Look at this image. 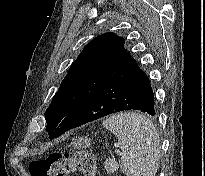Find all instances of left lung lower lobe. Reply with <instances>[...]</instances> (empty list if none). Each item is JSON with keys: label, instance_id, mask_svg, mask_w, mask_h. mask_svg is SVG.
Instances as JSON below:
<instances>
[{"label": "left lung lower lobe", "instance_id": "1", "mask_svg": "<svg viewBox=\"0 0 205 176\" xmlns=\"http://www.w3.org/2000/svg\"><path fill=\"white\" fill-rule=\"evenodd\" d=\"M124 110H138L152 116L156 114L149 78L133 58L96 89L69 129Z\"/></svg>", "mask_w": 205, "mask_h": 176}]
</instances>
